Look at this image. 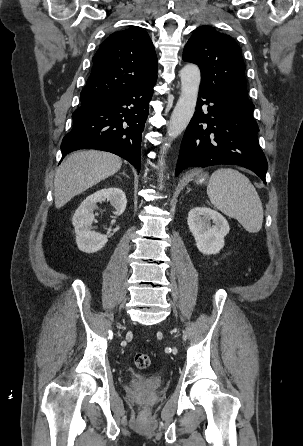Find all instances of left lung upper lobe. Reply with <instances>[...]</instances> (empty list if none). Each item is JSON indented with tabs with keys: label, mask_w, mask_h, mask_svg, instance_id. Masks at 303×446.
Wrapping results in <instances>:
<instances>
[{
	"label": "left lung upper lobe",
	"mask_w": 303,
	"mask_h": 446,
	"mask_svg": "<svg viewBox=\"0 0 303 446\" xmlns=\"http://www.w3.org/2000/svg\"><path fill=\"white\" fill-rule=\"evenodd\" d=\"M183 60L198 64L202 73L200 86L222 91L253 112L241 48L229 35L209 26L198 27L185 45Z\"/></svg>",
	"instance_id": "left-lung-upper-lobe-1"
}]
</instances>
